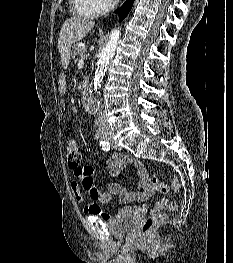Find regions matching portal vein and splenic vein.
I'll list each match as a JSON object with an SVG mask.
<instances>
[{
	"mask_svg": "<svg viewBox=\"0 0 233 263\" xmlns=\"http://www.w3.org/2000/svg\"><path fill=\"white\" fill-rule=\"evenodd\" d=\"M78 65H79L80 67H82V66L84 65V61L81 59V60L79 61Z\"/></svg>",
	"mask_w": 233,
	"mask_h": 263,
	"instance_id": "18ae733b",
	"label": "portal vein and splenic vein"
}]
</instances>
